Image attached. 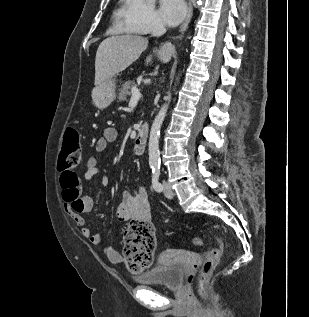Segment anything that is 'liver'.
I'll use <instances>...</instances> for the list:
<instances>
[{"label": "liver", "instance_id": "1", "mask_svg": "<svg viewBox=\"0 0 309 317\" xmlns=\"http://www.w3.org/2000/svg\"><path fill=\"white\" fill-rule=\"evenodd\" d=\"M147 46V38L131 34L111 36L103 40L96 52L95 87L125 70L140 57ZM174 51V46L171 43H166L160 49L153 50L163 63H168L171 60ZM151 61V56H148L146 64L151 63Z\"/></svg>", "mask_w": 309, "mask_h": 317}]
</instances>
